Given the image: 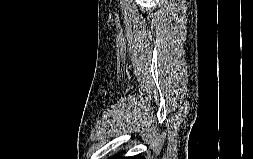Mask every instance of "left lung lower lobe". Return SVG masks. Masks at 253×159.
<instances>
[{
  "label": "left lung lower lobe",
  "mask_w": 253,
  "mask_h": 159,
  "mask_svg": "<svg viewBox=\"0 0 253 159\" xmlns=\"http://www.w3.org/2000/svg\"><path fill=\"white\" fill-rule=\"evenodd\" d=\"M110 159H144V158L143 157H126V158L111 157Z\"/></svg>",
  "instance_id": "1"
}]
</instances>
